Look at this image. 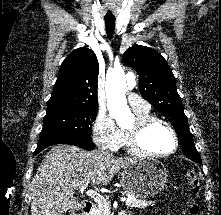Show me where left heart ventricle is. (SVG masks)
Segmentation results:
<instances>
[{"instance_id": "b2bd125f", "label": "left heart ventricle", "mask_w": 221, "mask_h": 215, "mask_svg": "<svg viewBox=\"0 0 221 215\" xmlns=\"http://www.w3.org/2000/svg\"><path fill=\"white\" fill-rule=\"evenodd\" d=\"M133 125L130 128H132ZM142 144L148 151L165 153L173 148L174 140L166 126L161 123H155L143 134Z\"/></svg>"}]
</instances>
